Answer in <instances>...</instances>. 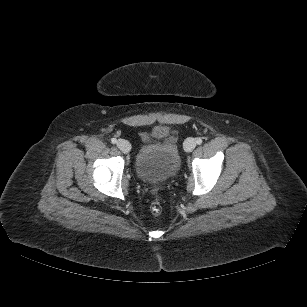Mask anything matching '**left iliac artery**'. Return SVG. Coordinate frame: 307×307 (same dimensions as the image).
<instances>
[{"label": "left iliac artery", "instance_id": "44dca946", "mask_svg": "<svg viewBox=\"0 0 307 307\" xmlns=\"http://www.w3.org/2000/svg\"><path fill=\"white\" fill-rule=\"evenodd\" d=\"M202 142H203V140H202L201 138H197L196 143H197L198 145L202 144Z\"/></svg>", "mask_w": 307, "mask_h": 307}]
</instances>
